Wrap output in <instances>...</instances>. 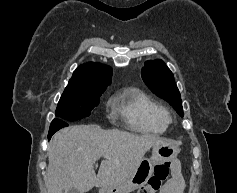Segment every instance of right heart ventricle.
Segmentation results:
<instances>
[{
    "mask_svg": "<svg viewBox=\"0 0 237 193\" xmlns=\"http://www.w3.org/2000/svg\"><path fill=\"white\" fill-rule=\"evenodd\" d=\"M117 114L128 128L141 134H162L169 124L166 109L138 88L128 87L113 100Z\"/></svg>",
    "mask_w": 237,
    "mask_h": 193,
    "instance_id": "e07e8e85",
    "label": "right heart ventricle"
}]
</instances>
